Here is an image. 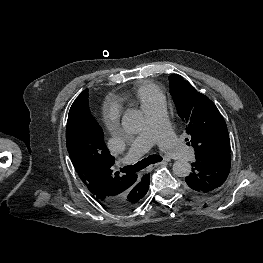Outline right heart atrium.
Listing matches in <instances>:
<instances>
[{"instance_id":"1","label":"right heart atrium","mask_w":263,"mask_h":263,"mask_svg":"<svg viewBox=\"0 0 263 263\" xmlns=\"http://www.w3.org/2000/svg\"><path fill=\"white\" fill-rule=\"evenodd\" d=\"M106 117L108 120H112L115 117L116 110L113 106H108L105 109Z\"/></svg>"}]
</instances>
